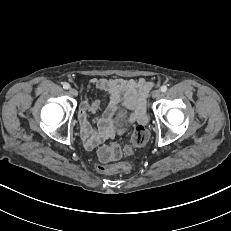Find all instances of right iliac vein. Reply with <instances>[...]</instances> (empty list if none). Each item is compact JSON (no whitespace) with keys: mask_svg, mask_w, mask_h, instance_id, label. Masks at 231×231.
I'll list each match as a JSON object with an SVG mask.
<instances>
[{"mask_svg":"<svg viewBox=\"0 0 231 231\" xmlns=\"http://www.w3.org/2000/svg\"><path fill=\"white\" fill-rule=\"evenodd\" d=\"M69 93L75 97L78 95V91L75 88H70Z\"/></svg>","mask_w":231,"mask_h":231,"instance_id":"1","label":"right iliac vein"}]
</instances>
